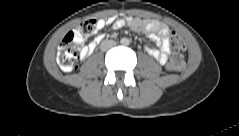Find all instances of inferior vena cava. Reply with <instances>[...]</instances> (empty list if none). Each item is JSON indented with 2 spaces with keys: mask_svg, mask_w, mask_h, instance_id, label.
Returning a JSON list of instances; mask_svg holds the SVG:
<instances>
[{
  "mask_svg": "<svg viewBox=\"0 0 239 136\" xmlns=\"http://www.w3.org/2000/svg\"><path fill=\"white\" fill-rule=\"evenodd\" d=\"M116 45V43H115V41H113V40H107V41H103L102 43H101V50L102 51H106V50H108L109 48H112V47H114Z\"/></svg>",
  "mask_w": 239,
  "mask_h": 136,
  "instance_id": "obj_1",
  "label": "inferior vena cava"
}]
</instances>
